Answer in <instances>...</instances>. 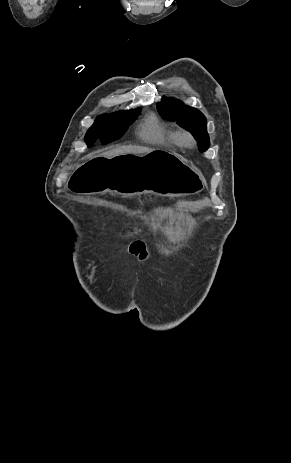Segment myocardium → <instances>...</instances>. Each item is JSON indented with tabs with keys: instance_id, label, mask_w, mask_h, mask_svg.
Segmentation results:
<instances>
[{
	"instance_id": "1",
	"label": "myocardium",
	"mask_w": 291,
	"mask_h": 463,
	"mask_svg": "<svg viewBox=\"0 0 291 463\" xmlns=\"http://www.w3.org/2000/svg\"><path fill=\"white\" fill-rule=\"evenodd\" d=\"M178 138L180 143L186 146H192L194 143V138L192 134L187 130H183L180 133H178Z\"/></svg>"
}]
</instances>
